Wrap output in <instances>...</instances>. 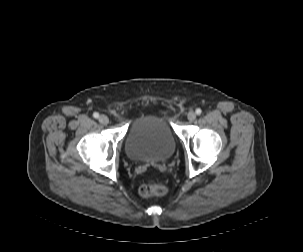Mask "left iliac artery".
Here are the masks:
<instances>
[{
	"label": "left iliac artery",
	"mask_w": 303,
	"mask_h": 252,
	"mask_svg": "<svg viewBox=\"0 0 303 252\" xmlns=\"http://www.w3.org/2000/svg\"><path fill=\"white\" fill-rule=\"evenodd\" d=\"M202 113V110L200 108L196 109V114L200 115Z\"/></svg>",
	"instance_id": "obj_1"
}]
</instances>
